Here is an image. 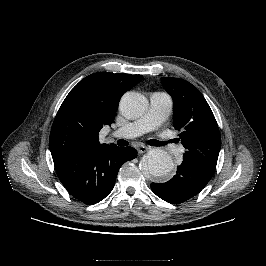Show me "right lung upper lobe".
Listing matches in <instances>:
<instances>
[{
	"label": "right lung upper lobe",
	"instance_id": "1",
	"mask_svg": "<svg viewBox=\"0 0 266 266\" xmlns=\"http://www.w3.org/2000/svg\"><path fill=\"white\" fill-rule=\"evenodd\" d=\"M143 79L141 75L98 72L81 80L67 95L53 122L52 157L104 147L98 134L111 125L120 96Z\"/></svg>",
	"mask_w": 266,
	"mask_h": 266
}]
</instances>
